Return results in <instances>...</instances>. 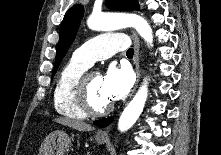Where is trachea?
Segmentation results:
<instances>
[{"mask_svg": "<svg viewBox=\"0 0 221 155\" xmlns=\"http://www.w3.org/2000/svg\"><path fill=\"white\" fill-rule=\"evenodd\" d=\"M133 54H134L133 48H129V49L127 50V52H126V55H127L128 57H133Z\"/></svg>", "mask_w": 221, "mask_h": 155, "instance_id": "trachea-1", "label": "trachea"}]
</instances>
